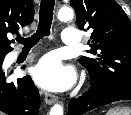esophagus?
<instances>
[{"instance_id":"1","label":"esophagus","mask_w":131,"mask_h":115,"mask_svg":"<svg viewBox=\"0 0 131 115\" xmlns=\"http://www.w3.org/2000/svg\"><path fill=\"white\" fill-rule=\"evenodd\" d=\"M44 98H45V102L49 105H52L57 101V97L48 92L45 93Z\"/></svg>"}]
</instances>
